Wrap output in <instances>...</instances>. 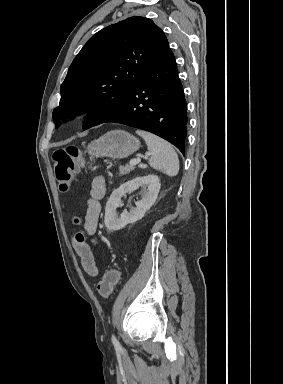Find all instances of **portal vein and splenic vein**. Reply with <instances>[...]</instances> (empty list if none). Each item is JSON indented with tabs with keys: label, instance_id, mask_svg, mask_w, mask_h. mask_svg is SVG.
<instances>
[{
	"label": "portal vein and splenic vein",
	"instance_id": "portal-vein-and-splenic-vein-1",
	"mask_svg": "<svg viewBox=\"0 0 283 384\" xmlns=\"http://www.w3.org/2000/svg\"><path fill=\"white\" fill-rule=\"evenodd\" d=\"M151 156V152H146L145 158H149ZM144 158V156H142ZM141 158H136V160H130L129 164L130 166H136V164H140Z\"/></svg>",
	"mask_w": 283,
	"mask_h": 384
}]
</instances>
